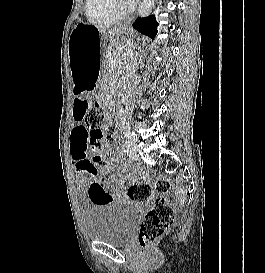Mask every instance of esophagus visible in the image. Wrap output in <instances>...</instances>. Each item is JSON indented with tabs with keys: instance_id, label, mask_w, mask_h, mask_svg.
I'll return each instance as SVG.
<instances>
[{
	"instance_id": "obj_1",
	"label": "esophagus",
	"mask_w": 265,
	"mask_h": 273,
	"mask_svg": "<svg viewBox=\"0 0 265 273\" xmlns=\"http://www.w3.org/2000/svg\"><path fill=\"white\" fill-rule=\"evenodd\" d=\"M132 21H133V16L130 17L129 19H127V20L124 22V24H125V25L131 24Z\"/></svg>"
}]
</instances>
